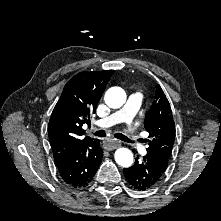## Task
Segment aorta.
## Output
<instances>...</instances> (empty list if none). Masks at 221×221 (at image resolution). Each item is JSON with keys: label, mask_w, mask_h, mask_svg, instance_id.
<instances>
[{"label": "aorta", "mask_w": 221, "mask_h": 221, "mask_svg": "<svg viewBox=\"0 0 221 221\" xmlns=\"http://www.w3.org/2000/svg\"><path fill=\"white\" fill-rule=\"evenodd\" d=\"M104 100L110 108L117 109L126 102V93L120 87H112L105 93ZM115 160L120 166L129 167L133 163V154L127 148H118L115 152Z\"/></svg>", "instance_id": "1"}]
</instances>
